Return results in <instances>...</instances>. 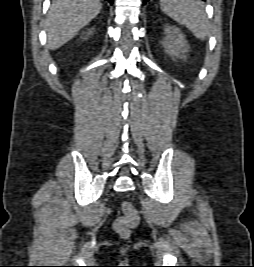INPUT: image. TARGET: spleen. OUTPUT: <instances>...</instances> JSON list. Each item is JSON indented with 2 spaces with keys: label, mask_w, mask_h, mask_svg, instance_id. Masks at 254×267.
Here are the masks:
<instances>
[{
  "label": "spleen",
  "mask_w": 254,
  "mask_h": 267,
  "mask_svg": "<svg viewBox=\"0 0 254 267\" xmlns=\"http://www.w3.org/2000/svg\"><path fill=\"white\" fill-rule=\"evenodd\" d=\"M160 7L174 21L185 25L198 39L209 37V21L201 0H160Z\"/></svg>",
  "instance_id": "1"
}]
</instances>
